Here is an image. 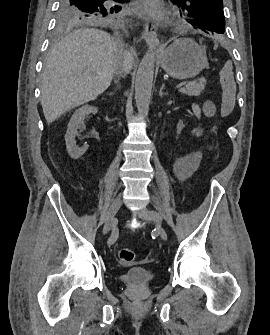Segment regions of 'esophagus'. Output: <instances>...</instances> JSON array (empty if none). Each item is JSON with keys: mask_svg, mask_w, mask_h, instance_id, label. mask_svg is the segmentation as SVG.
<instances>
[{"mask_svg": "<svg viewBox=\"0 0 270 335\" xmlns=\"http://www.w3.org/2000/svg\"><path fill=\"white\" fill-rule=\"evenodd\" d=\"M142 38H144L145 42L149 46H154L159 44V40L157 38L156 31L153 28V24L150 20L144 25L142 31Z\"/></svg>", "mask_w": 270, "mask_h": 335, "instance_id": "esophagus-1", "label": "esophagus"}]
</instances>
